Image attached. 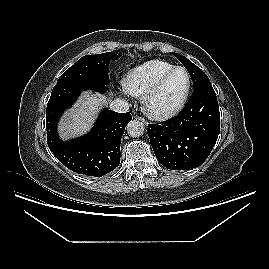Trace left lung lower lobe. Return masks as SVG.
Wrapping results in <instances>:
<instances>
[{"instance_id": "0a47b994", "label": "left lung lower lobe", "mask_w": 269, "mask_h": 269, "mask_svg": "<svg viewBox=\"0 0 269 269\" xmlns=\"http://www.w3.org/2000/svg\"><path fill=\"white\" fill-rule=\"evenodd\" d=\"M220 132V113L211 83L196 89L182 112L147 133L157 160L171 170L200 166L211 153Z\"/></svg>"}]
</instances>
